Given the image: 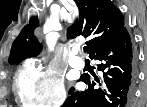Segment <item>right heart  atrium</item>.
Instances as JSON below:
<instances>
[{
    "mask_svg": "<svg viewBox=\"0 0 147 107\" xmlns=\"http://www.w3.org/2000/svg\"><path fill=\"white\" fill-rule=\"evenodd\" d=\"M16 92L22 105L33 107L60 106L67 97L62 74L35 61L19 70Z\"/></svg>",
    "mask_w": 147,
    "mask_h": 107,
    "instance_id": "right-heart-atrium-1",
    "label": "right heart atrium"
}]
</instances>
